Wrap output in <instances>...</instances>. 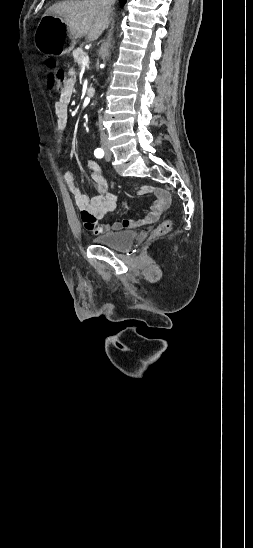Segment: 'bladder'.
I'll return each mask as SVG.
<instances>
[{"instance_id": "bladder-1", "label": "bladder", "mask_w": 253, "mask_h": 548, "mask_svg": "<svg viewBox=\"0 0 253 548\" xmlns=\"http://www.w3.org/2000/svg\"><path fill=\"white\" fill-rule=\"evenodd\" d=\"M137 233L135 231H110L93 238V242L114 250H125L132 246Z\"/></svg>"}]
</instances>
